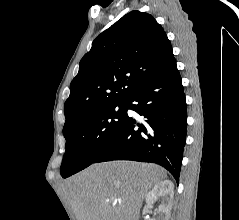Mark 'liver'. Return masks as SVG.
Returning <instances> with one entry per match:
<instances>
[{
    "label": "liver",
    "instance_id": "liver-1",
    "mask_svg": "<svg viewBox=\"0 0 239 220\" xmlns=\"http://www.w3.org/2000/svg\"><path fill=\"white\" fill-rule=\"evenodd\" d=\"M163 168L131 161L97 163L69 178L63 190L77 220H138Z\"/></svg>",
    "mask_w": 239,
    "mask_h": 220
}]
</instances>
